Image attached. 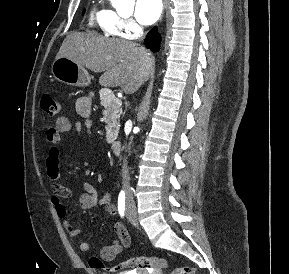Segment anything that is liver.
Returning <instances> with one entry per match:
<instances>
[{"mask_svg":"<svg viewBox=\"0 0 289 274\" xmlns=\"http://www.w3.org/2000/svg\"><path fill=\"white\" fill-rule=\"evenodd\" d=\"M66 57L93 72H104L103 86H120L132 93L140 85L148 67V54L134 43L98 36L94 33L73 32L64 39L56 58Z\"/></svg>","mask_w":289,"mask_h":274,"instance_id":"liver-1","label":"liver"}]
</instances>
